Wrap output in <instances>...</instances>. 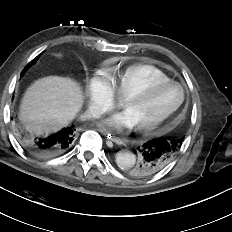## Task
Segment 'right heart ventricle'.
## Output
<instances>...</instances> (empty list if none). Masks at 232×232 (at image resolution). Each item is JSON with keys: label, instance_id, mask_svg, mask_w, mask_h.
Segmentation results:
<instances>
[{"label": "right heart ventricle", "instance_id": "1", "mask_svg": "<svg viewBox=\"0 0 232 232\" xmlns=\"http://www.w3.org/2000/svg\"><path fill=\"white\" fill-rule=\"evenodd\" d=\"M104 70L115 96L120 99L154 83L170 79L162 70L148 64H134L119 69L105 63Z\"/></svg>", "mask_w": 232, "mask_h": 232}]
</instances>
